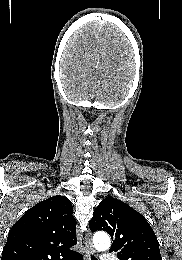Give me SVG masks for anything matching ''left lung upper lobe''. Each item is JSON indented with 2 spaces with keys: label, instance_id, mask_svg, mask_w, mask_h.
I'll use <instances>...</instances> for the list:
<instances>
[{
  "label": "left lung upper lobe",
  "instance_id": "1",
  "mask_svg": "<svg viewBox=\"0 0 182 260\" xmlns=\"http://www.w3.org/2000/svg\"><path fill=\"white\" fill-rule=\"evenodd\" d=\"M89 226L93 232L110 234V251L117 252L119 260H162L157 237L145 217L120 200H102Z\"/></svg>",
  "mask_w": 182,
  "mask_h": 260
}]
</instances>
